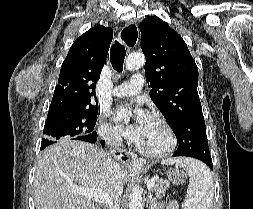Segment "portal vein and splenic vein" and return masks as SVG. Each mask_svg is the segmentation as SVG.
Returning a JSON list of instances; mask_svg holds the SVG:
<instances>
[{
    "label": "portal vein and splenic vein",
    "mask_w": 253,
    "mask_h": 209,
    "mask_svg": "<svg viewBox=\"0 0 253 209\" xmlns=\"http://www.w3.org/2000/svg\"><path fill=\"white\" fill-rule=\"evenodd\" d=\"M158 177L155 176L152 179L149 180L148 184H147V188L150 190L153 188L155 182L157 181ZM73 192H76L80 195H83L87 198H96L99 199L101 202H104L106 205L108 206H113V201L111 199V197L104 191L102 190H97V189H90V188H75L73 190Z\"/></svg>",
    "instance_id": "obj_1"
}]
</instances>
